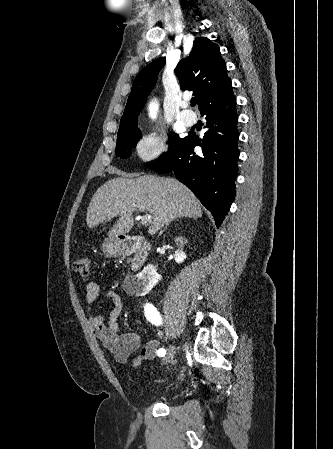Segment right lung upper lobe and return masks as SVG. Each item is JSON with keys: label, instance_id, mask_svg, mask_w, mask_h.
Masks as SVG:
<instances>
[{"label": "right lung upper lobe", "instance_id": "right-lung-upper-lobe-1", "mask_svg": "<svg viewBox=\"0 0 333 449\" xmlns=\"http://www.w3.org/2000/svg\"><path fill=\"white\" fill-rule=\"evenodd\" d=\"M164 65L165 57H160L138 73L120 124L135 123L137 126V116ZM175 74L183 90L193 91L198 99L199 109L221 93L232 89L219 46L206 37L195 39L190 55L178 63ZM119 137L118 135L117 139Z\"/></svg>", "mask_w": 333, "mask_h": 449}]
</instances>
